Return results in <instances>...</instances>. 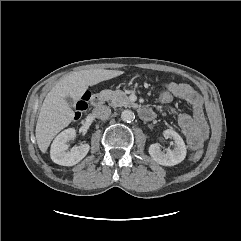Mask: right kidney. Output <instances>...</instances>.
Listing matches in <instances>:
<instances>
[{
	"label": "right kidney",
	"instance_id": "obj_1",
	"mask_svg": "<svg viewBox=\"0 0 241 241\" xmlns=\"http://www.w3.org/2000/svg\"><path fill=\"white\" fill-rule=\"evenodd\" d=\"M75 136V129L68 128L54 139L50 149V156L54 163L63 166H73L87 155L90 149L89 144H82L68 150L69 147L66 143Z\"/></svg>",
	"mask_w": 241,
	"mask_h": 241
}]
</instances>
